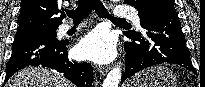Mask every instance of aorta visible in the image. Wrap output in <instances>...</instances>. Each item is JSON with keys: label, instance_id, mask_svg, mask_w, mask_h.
I'll return each instance as SVG.
<instances>
[{"label": "aorta", "instance_id": "762f6f07", "mask_svg": "<svg viewBox=\"0 0 205 87\" xmlns=\"http://www.w3.org/2000/svg\"><path fill=\"white\" fill-rule=\"evenodd\" d=\"M121 79L120 67H114L107 75L102 87H118Z\"/></svg>", "mask_w": 205, "mask_h": 87}]
</instances>
